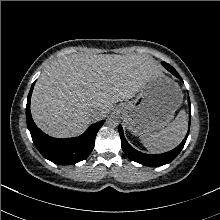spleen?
Instances as JSON below:
<instances>
[{
	"label": "spleen",
	"instance_id": "spleen-1",
	"mask_svg": "<svg viewBox=\"0 0 220 220\" xmlns=\"http://www.w3.org/2000/svg\"><path fill=\"white\" fill-rule=\"evenodd\" d=\"M187 125V114L181 110L166 128L142 135L140 139L148 150L155 153L166 152L180 144L187 132Z\"/></svg>",
	"mask_w": 220,
	"mask_h": 220
}]
</instances>
